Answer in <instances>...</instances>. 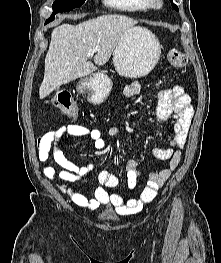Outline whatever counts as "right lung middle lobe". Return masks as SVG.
I'll list each match as a JSON object with an SVG mask.
<instances>
[{
  "instance_id": "dd1d6c3e",
  "label": "right lung middle lobe",
  "mask_w": 221,
  "mask_h": 263,
  "mask_svg": "<svg viewBox=\"0 0 221 263\" xmlns=\"http://www.w3.org/2000/svg\"><path fill=\"white\" fill-rule=\"evenodd\" d=\"M84 2L85 0H55L52 5L53 13L50 18L46 20V23L53 21L56 13L71 11L74 8L80 7Z\"/></svg>"
}]
</instances>
